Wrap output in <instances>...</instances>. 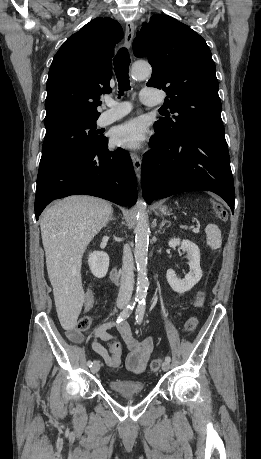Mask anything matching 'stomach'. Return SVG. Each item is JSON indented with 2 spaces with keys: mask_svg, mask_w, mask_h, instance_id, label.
Returning a JSON list of instances; mask_svg holds the SVG:
<instances>
[{
  "mask_svg": "<svg viewBox=\"0 0 261 459\" xmlns=\"http://www.w3.org/2000/svg\"><path fill=\"white\" fill-rule=\"evenodd\" d=\"M160 210H161V212L165 213V212H166V207H165V206H162V207L160 208Z\"/></svg>",
  "mask_w": 261,
  "mask_h": 459,
  "instance_id": "obj_1",
  "label": "stomach"
}]
</instances>
